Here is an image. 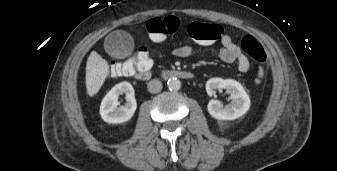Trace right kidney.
I'll list each match as a JSON object with an SVG mask.
<instances>
[{"label":"right kidney","instance_id":"obj_1","mask_svg":"<svg viewBox=\"0 0 337 171\" xmlns=\"http://www.w3.org/2000/svg\"><path fill=\"white\" fill-rule=\"evenodd\" d=\"M126 94V103L119 105L118 97L120 94ZM137 108L134 97V88L129 82H121L115 85L103 98L100 105V115L105 122L123 123L132 118Z\"/></svg>","mask_w":337,"mask_h":171}]
</instances>
